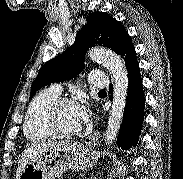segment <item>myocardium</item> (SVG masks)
Wrapping results in <instances>:
<instances>
[{
  "mask_svg": "<svg viewBox=\"0 0 183 179\" xmlns=\"http://www.w3.org/2000/svg\"><path fill=\"white\" fill-rule=\"evenodd\" d=\"M65 105H75L79 106V102L70 97H59L56 99L47 109L45 117H44V124L47 131L51 134L52 137L60 138V139H68L75 137L80 134L82 128L78 129L74 132H61L56 127V117L59 110Z\"/></svg>",
  "mask_w": 183,
  "mask_h": 179,
  "instance_id": "obj_1",
  "label": "myocardium"
}]
</instances>
